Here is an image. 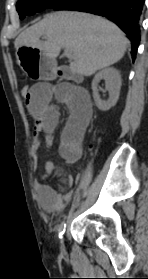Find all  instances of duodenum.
<instances>
[{"mask_svg":"<svg viewBox=\"0 0 148 279\" xmlns=\"http://www.w3.org/2000/svg\"><path fill=\"white\" fill-rule=\"evenodd\" d=\"M58 76L63 80H77L79 79V75L72 71V69L68 66H59L57 68Z\"/></svg>","mask_w":148,"mask_h":279,"instance_id":"duodenum-1","label":"duodenum"}]
</instances>
